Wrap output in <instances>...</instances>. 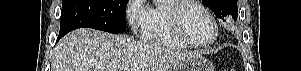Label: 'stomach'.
<instances>
[{"instance_id":"obj_1","label":"stomach","mask_w":301,"mask_h":71,"mask_svg":"<svg viewBox=\"0 0 301 71\" xmlns=\"http://www.w3.org/2000/svg\"><path fill=\"white\" fill-rule=\"evenodd\" d=\"M212 63L200 54H191L170 71H213Z\"/></svg>"}]
</instances>
